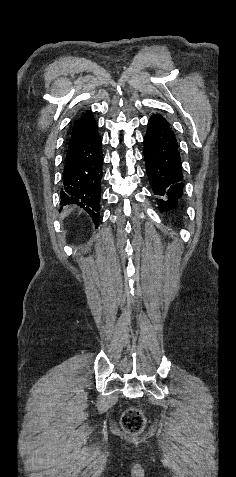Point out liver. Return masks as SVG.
<instances>
[{"instance_id":"liver-1","label":"liver","mask_w":236,"mask_h":477,"mask_svg":"<svg viewBox=\"0 0 236 477\" xmlns=\"http://www.w3.org/2000/svg\"><path fill=\"white\" fill-rule=\"evenodd\" d=\"M69 212H70V210L64 209L63 212H62V214H61V218L66 217V216L69 214Z\"/></svg>"}]
</instances>
